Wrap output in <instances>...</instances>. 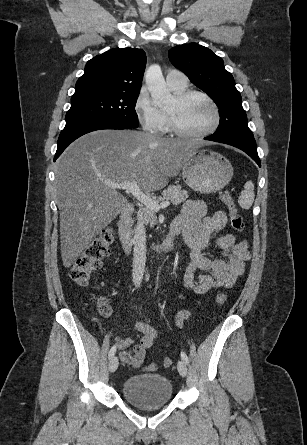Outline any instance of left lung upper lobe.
Listing matches in <instances>:
<instances>
[{"instance_id":"obj_1","label":"left lung upper lobe","mask_w":307,"mask_h":445,"mask_svg":"<svg viewBox=\"0 0 307 445\" xmlns=\"http://www.w3.org/2000/svg\"><path fill=\"white\" fill-rule=\"evenodd\" d=\"M169 59L218 106L220 124L213 135L253 136L247 125L241 95L233 76L225 70L222 58L204 46L190 43L170 49Z\"/></svg>"}]
</instances>
